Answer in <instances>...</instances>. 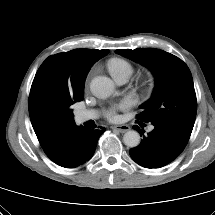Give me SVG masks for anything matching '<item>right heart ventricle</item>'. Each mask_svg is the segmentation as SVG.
Wrapping results in <instances>:
<instances>
[{"mask_svg":"<svg viewBox=\"0 0 215 215\" xmlns=\"http://www.w3.org/2000/svg\"><path fill=\"white\" fill-rule=\"evenodd\" d=\"M106 67L115 80L120 78L128 79L134 71L133 64L129 60L121 57L110 58L106 63Z\"/></svg>","mask_w":215,"mask_h":215,"instance_id":"obj_1","label":"right heart ventricle"}]
</instances>
